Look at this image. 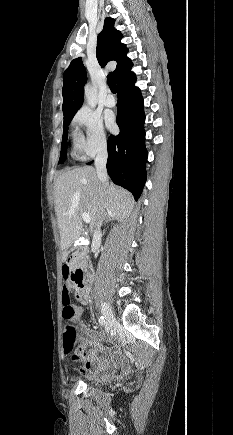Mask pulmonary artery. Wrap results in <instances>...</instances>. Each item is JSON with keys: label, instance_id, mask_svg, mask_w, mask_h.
<instances>
[{"label": "pulmonary artery", "instance_id": "1", "mask_svg": "<svg viewBox=\"0 0 233 435\" xmlns=\"http://www.w3.org/2000/svg\"><path fill=\"white\" fill-rule=\"evenodd\" d=\"M105 105L108 107H114L116 105V99L112 94H108L105 100Z\"/></svg>", "mask_w": 233, "mask_h": 435}]
</instances>
